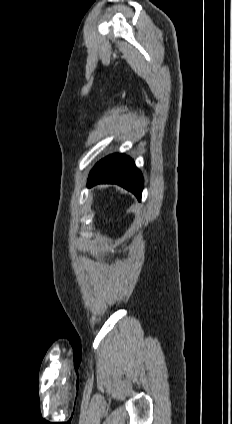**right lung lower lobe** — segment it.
Masks as SVG:
<instances>
[{
	"label": "right lung lower lobe",
	"mask_w": 232,
	"mask_h": 424,
	"mask_svg": "<svg viewBox=\"0 0 232 424\" xmlns=\"http://www.w3.org/2000/svg\"><path fill=\"white\" fill-rule=\"evenodd\" d=\"M100 183L118 184L141 200L143 176L128 156L113 154L99 161L89 175L88 186Z\"/></svg>",
	"instance_id": "98d812e1"
}]
</instances>
